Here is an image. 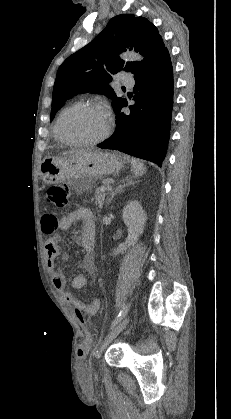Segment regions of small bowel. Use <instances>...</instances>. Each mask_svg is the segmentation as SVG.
Masks as SVG:
<instances>
[{
    "label": "small bowel",
    "instance_id": "small-bowel-1",
    "mask_svg": "<svg viewBox=\"0 0 231 419\" xmlns=\"http://www.w3.org/2000/svg\"><path fill=\"white\" fill-rule=\"evenodd\" d=\"M80 221L82 223V232L74 235V241L82 247L85 252L83 260V267L92 268L93 264V251L95 242V219L93 213L87 208H79L76 211L62 217L60 220L54 215H44L41 218V228L45 234H49L45 249L47 257V265L50 269L55 268V261L59 256V243L61 237L55 234L57 229L61 231L68 230L74 223ZM86 284V278L83 275H77L72 280V289L79 290ZM53 285L55 289L61 292L63 299L66 303L70 304L79 317L94 316L97 314L101 307L99 299H93L86 303L78 299L72 292L66 290V278L63 271L57 269L53 274Z\"/></svg>",
    "mask_w": 231,
    "mask_h": 419
}]
</instances>
